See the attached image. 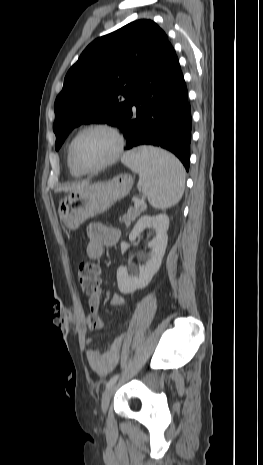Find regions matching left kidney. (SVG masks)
I'll return each mask as SVG.
<instances>
[{"label": "left kidney", "instance_id": "obj_1", "mask_svg": "<svg viewBox=\"0 0 263 465\" xmlns=\"http://www.w3.org/2000/svg\"><path fill=\"white\" fill-rule=\"evenodd\" d=\"M149 228H154L156 235L148 244L151 254L146 263L139 266L138 272L132 275L128 274L124 266H120L117 270L118 289L123 294L133 293L135 290L147 286L161 266L168 239V216L166 214L142 216L129 235L130 241H135L141 232Z\"/></svg>", "mask_w": 263, "mask_h": 465}]
</instances>
